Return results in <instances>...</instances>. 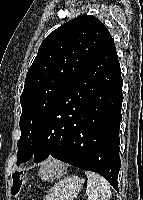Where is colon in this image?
I'll return each mask as SVG.
<instances>
[{
    "label": "colon",
    "mask_w": 143,
    "mask_h": 200,
    "mask_svg": "<svg viewBox=\"0 0 143 200\" xmlns=\"http://www.w3.org/2000/svg\"><path fill=\"white\" fill-rule=\"evenodd\" d=\"M26 174L22 171H15L12 175V180H13V185H12V190L15 195H17L22 187L24 186L26 182Z\"/></svg>",
    "instance_id": "1"
}]
</instances>
